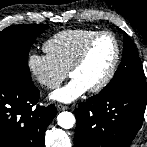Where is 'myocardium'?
I'll list each match as a JSON object with an SVG mask.
<instances>
[{"mask_svg": "<svg viewBox=\"0 0 147 147\" xmlns=\"http://www.w3.org/2000/svg\"><path fill=\"white\" fill-rule=\"evenodd\" d=\"M102 36H109L112 38L114 45H115V56L110 66V69L105 75V77L97 85L88 89L89 92H92V93H98L102 91L103 89H105L109 85V83L112 81V79L114 78L116 74V71H117V68L119 66V62L121 59V46H120L119 40L117 39L116 35L111 31H98L97 33H95L92 37H90L86 41V43L81 48L79 54L77 55L76 59L73 61L70 68L68 69V74L69 76H71L72 73L75 70H77L85 62L91 47L93 46L95 41Z\"/></svg>", "mask_w": 147, "mask_h": 147, "instance_id": "f54148a6", "label": "myocardium"}]
</instances>
